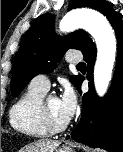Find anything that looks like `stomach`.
<instances>
[{
    "instance_id": "1",
    "label": "stomach",
    "mask_w": 123,
    "mask_h": 152,
    "mask_svg": "<svg viewBox=\"0 0 123 152\" xmlns=\"http://www.w3.org/2000/svg\"><path fill=\"white\" fill-rule=\"evenodd\" d=\"M56 152H74V150L71 147L64 146L57 149Z\"/></svg>"
}]
</instances>
